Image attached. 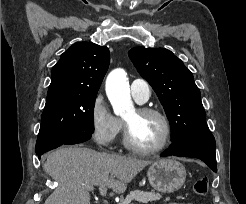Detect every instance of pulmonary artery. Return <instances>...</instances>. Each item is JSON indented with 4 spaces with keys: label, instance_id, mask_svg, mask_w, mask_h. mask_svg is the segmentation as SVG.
I'll list each match as a JSON object with an SVG mask.
<instances>
[{
    "label": "pulmonary artery",
    "instance_id": "obj_1",
    "mask_svg": "<svg viewBox=\"0 0 246 204\" xmlns=\"http://www.w3.org/2000/svg\"><path fill=\"white\" fill-rule=\"evenodd\" d=\"M131 94L138 103L146 102L150 97V86L143 79H135L130 86Z\"/></svg>",
    "mask_w": 246,
    "mask_h": 204
}]
</instances>
